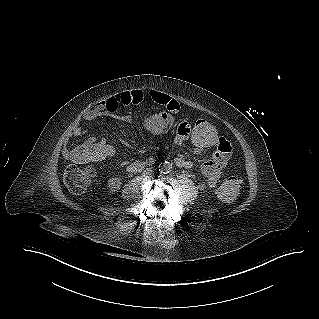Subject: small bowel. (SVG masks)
I'll list each match as a JSON object with an SVG mask.
<instances>
[{
	"instance_id": "c3829d8e",
	"label": "small bowel",
	"mask_w": 319,
	"mask_h": 319,
	"mask_svg": "<svg viewBox=\"0 0 319 319\" xmlns=\"http://www.w3.org/2000/svg\"><path fill=\"white\" fill-rule=\"evenodd\" d=\"M148 99L155 104L156 108H165V113H167L173 122V129L177 130L174 137V142L178 145L186 141V135L192 134V127L189 121H174L170 113H177L178 108L182 107L181 99H172L168 95L151 91L148 93ZM144 100V93L140 90L126 91L117 93L110 98H107L100 103L96 104L89 110H87L83 116L82 120L85 122H91L98 117L114 113L121 106H126L130 104H139ZM122 121H130L129 118L122 116L120 117ZM204 119H200L202 121ZM86 133L83 126L77 122L73 124L69 130V136H81ZM216 143L219 147L217 148L212 157L206 160L200 167L201 174L206 179V184L209 188H214L218 185L222 178L223 170L227 165L228 158L231 156V148L224 138H218ZM69 144V138L66 139L64 148L68 154L67 147ZM87 147H96L99 150L100 159L98 161L105 160L114 153V148L103 141H99L94 137L87 139L84 143ZM204 151L197 148L194 149V154L196 156H201ZM154 160L149 158L145 161H134L128 165L129 171L136 172L143 169L146 165L152 164ZM175 164L179 167L190 169L193 167V162L186 158L177 157L174 160Z\"/></svg>"
}]
</instances>
